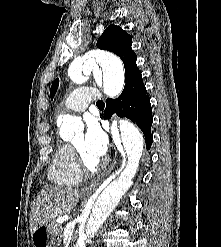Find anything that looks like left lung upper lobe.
Returning <instances> with one entry per match:
<instances>
[{"mask_svg":"<svg viewBox=\"0 0 221 247\" xmlns=\"http://www.w3.org/2000/svg\"><path fill=\"white\" fill-rule=\"evenodd\" d=\"M132 37L117 25L108 26L103 34L99 37L96 46L99 49L107 50L118 55L124 63L125 68V86L123 94L127 92V89L134 82H142V75L139 71L136 60L137 56L131 48ZM59 80L56 79L50 89V97L53 99ZM144 85V84H143Z\"/></svg>","mask_w":221,"mask_h":247,"instance_id":"1","label":"left lung upper lobe"}]
</instances>
